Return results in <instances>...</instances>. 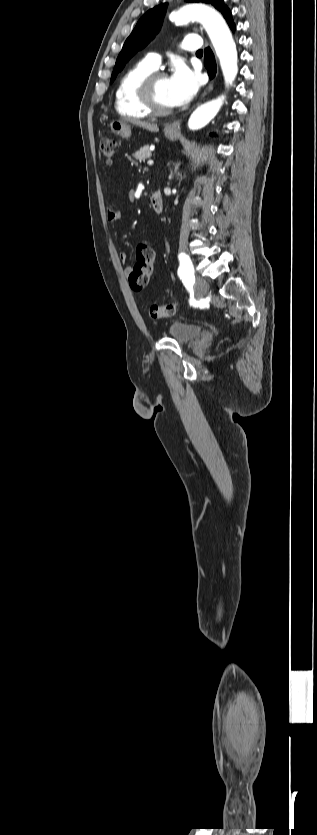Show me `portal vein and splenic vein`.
I'll use <instances>...</instances> for the list:
<instances>
[{
	"label": "portal vein and splenic vein",
	"mask_w": 317,
	"mask_h": 835,
	"mask_svg": "<svg viewBox=\"0 0 317 835\" xmlns=\"http://www.w3.org/2000/svg\"><path fill=\"white\" fill-rule=\"evenodd\" d=\"M151 149L153 150V149H154V147H152ZM147 165H148V166H152V165H153V161H152V160H149V161L147 162Z\"/></svg>",
	"instance_id": "obj_1"
}]
</instances>
